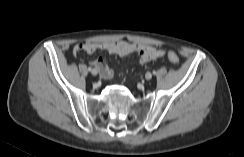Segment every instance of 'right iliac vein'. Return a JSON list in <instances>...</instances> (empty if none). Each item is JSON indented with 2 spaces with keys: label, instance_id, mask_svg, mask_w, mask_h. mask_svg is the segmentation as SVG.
I'll use <instances>...</instances> for the list:
<instances>
[{
  "label": "right iliac vein",
  "instance_id": "right-iliac-vein-1",
  "mask_svg": "<svg viewBox=\"0 0 244 157\" xmlns=\"http://www.w3.org/2000/svg\"><path fill=\"white\" fill-rule=\"evenodd\" d=\"M91 73H92L93 76H97L98 71L96 69H93Z\"/></svg>",
  "mask_w": 244,
  "mask_h": 157
}]
</instances>
